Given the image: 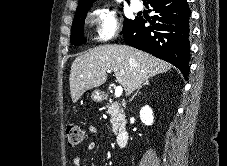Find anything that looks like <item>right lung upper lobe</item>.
<instances>
[{"label": "right lung upper lobe", "mask_w": 227, "mask_h": 166, "mask_svg": "<svg viewBox=\"0 0 227 166\" xmlns=\"http://www.w3.org/2000/svg\"><path fill=\"white\" fill-rule=\"evenodd\" d=\"M94 1L95 0H79L77 10L90 9V7ZM143 1L145 2L146 0H143Z\"/></svg>", "instance_id": "obj_1"}]
</instances>
